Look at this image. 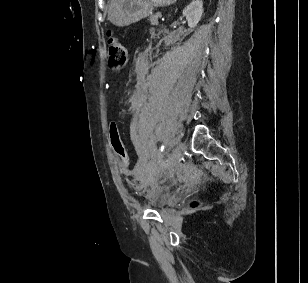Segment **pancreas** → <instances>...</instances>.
Returning a JSON list of instances; mask_svg holds the SVG:
<instances>
[{
	"mask_svg": "<svg viewBox=\"0 0 308 283\" xmlns=\"http://www.w3.org/2000/svg\"><path fill=\"white\" fill-rule=\"evenodd\" d=\"M158 18H159V15H158V13H156L155 15L149 16L148 20L150 21L151 25L157 26L158 25Z\"/></svg>",
	"mask_w": 308,
	"mask_h": 283,
	"instance_id": "obj_1",
	"label": "pancreas"
}]
</instances>
